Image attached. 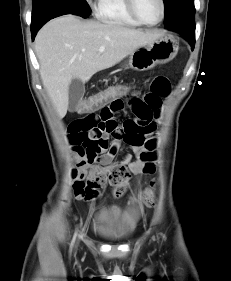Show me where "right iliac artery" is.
Returning a JSON list of instances; mask_svg holds the SVG:
<instances>
[{
	"instance_id": "1",
	"label": "right iliac artery",
	"mask_w": 231,
	"mask_h": 281,
	"mask_svg": "<svg viewBox=\"0 0 231 281\" xmlns=\"http://www.w3.org/2000/svg\"><path fill=\"white\" fill-rule=\"evenodd\" d=\"M76 237H77V232H75V234H74V237H73V240H72V243H71V249H72V247L75 243Z\"/></svg>"
}]
</instances>
